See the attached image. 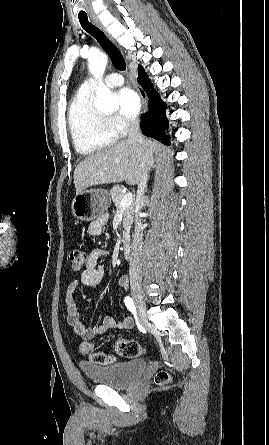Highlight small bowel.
<instances>
[{
  "label": "small bowel",
  "instance_id": "obj_1",
  "mask_svg": "<svg viewBox=\"0 0 269 445\" xmlns=\"http://www.w3.org/2000/svg\"><path fill=\"white\" fill-rule=\"evenodd\" d=\"M106 222L107 216H102L98 220L93 221L88 227L89 233L93 236L100 235ZM107 255L108 251L103 249H95L91 251L86 257L85 268L81 276L78 279L73 280L68 285L65 292L64 305L67 314V323L74 329L75 333L84 340H91L111 329H130L133 326L132 318L129 315H124L123 319L120 321L107 316L103 319L100 325L88 328L82 321L77 309L75 291L79 287L95 289L101 284L104 277V267L101 264V259ZM118 285L121 288L127 289L129 287L128 277H119Z\"/></svg>",
  "mask_w": 269,
  "mask_h": 445
}]
</instances>
